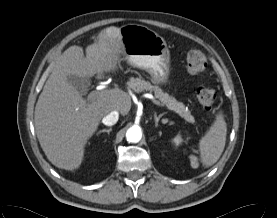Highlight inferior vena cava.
<instances>
[{
    "mask_svg": "<svg viewBox=\"0 0 277 218\" xmlns=\"http://www.w3.org/2000/svg\"><path fill=\"white\" fill-rule=\"evenodd\" d=\"M118 118H119V113L118 111L114 110V111H111L106 116H104L102 119V122L106 126H112L118 121Z\"/></svg>",
    "mask_w": 277,
    "mask_h": 218,
    "instance_id": "obj_1",
    "label": "inferior vena cava"
}]
</instances>
